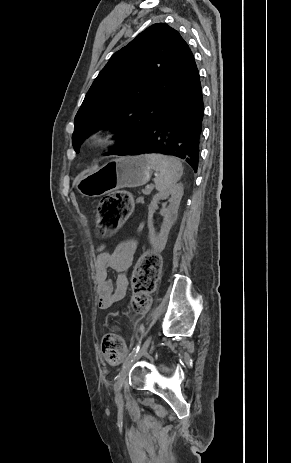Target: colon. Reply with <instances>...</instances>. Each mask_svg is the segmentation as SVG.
<instances>
[{"mask_svg":"<svg viewBox=\"0 0 291 463\" xmlns=\"http://www.w3.org/2000/svg\"><path fill=\"white\" fill-rule=\"evenodd\" d=\"M133 206V199L126 191H117L104 196L97 208L98 232L101 234L115 232L125 222ZM160 266V256L154 252H148L140 258L133 275L132 304L137 312H143L148 307V294L154 288ZM101 348L105 360L111 364H118L124 358L123 340L114 330L104 335Z\"/></svg>","mask_w":291,"mask_h":463,"instance_id":"colon-1","label":"colon"}]
</instances>
